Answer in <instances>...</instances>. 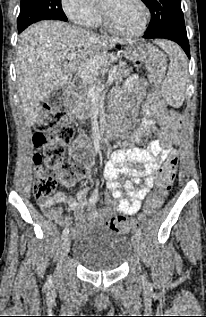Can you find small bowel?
I'll use <instances>...</instances> for the list:
<instances>
[{
	"instance_id": "obj_1",
	"label": "small bowel",
	"mask_w": 206,
	"mask_h": 317,
	"mask_svg": "<svg viewBox=\"0 0 206 317\" xmlns=\"http://www.w3.org/2000/svg\"><path fill=\"white\" fill-rule=\"evenodd\" d=\"M146 95L147 103L144 101ZM115 108L118 121L123 127V139L128 138V129L138 115H140V128L130 139L154 138L147 149L134 147L122 149L114 153L108 162L104 175L113 199L106 196L104 202L109 207L97 208L100 193L97 188L89 193L90 187L80 190L76 198H67L63 192H57L53 197L38 200L40 209L48 218L61 227L69 229L72 220L63 215L60 207V205H66L77 222L71 229L74 235L83 230L85 223L103 224L115 213L136 214L153 186L154 173L164 161L176 153L175 146L180 141L178 132L162 125L166 112L165 103L159 88L155 86L150 88L146 79L136 75L129 76L124 83L123 91L115 101ZM122 109H126V117L123 116ZM155 119L158 120L161 129L157 127ZM77 144L78 142H75L70 149L72 155L75 153ZM120 175H128L130 179L119 180ZM143 178L145 182H142ZM75 181H61V185L71 189Z\"/></svg>"
}]
</instances>
